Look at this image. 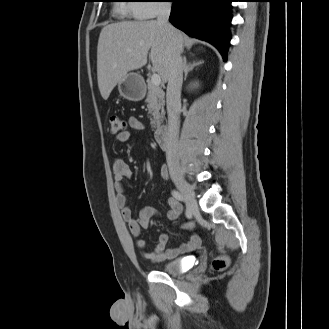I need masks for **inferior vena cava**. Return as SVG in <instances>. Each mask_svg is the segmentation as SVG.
Listing matches in <instances>:
<instances>
[{
    "mask_svg": "<svg viewBox=\"0 0 329 329\" xmlns=\"http://www.w3.org/2000/svg\"><path fill=\"white\" fill-rule=\"evenodd\" d=\"M170 11V3H161L159 6L157 23L165 29L172 46V57L170 60L168 85L166 91V104L168 114V138L166 159L170 176L171 178H175L179 175L177 146L180 127V95L183 82V64L181 58V48L178 44L175 30L169 23Z\"/></svg>",
    "mask_w": 329,
    "mask_h": 329,
    "instance_id": "602c4592",
    "label": "inferior vena cava"
}]
</instances>
